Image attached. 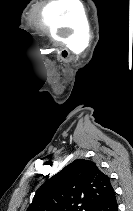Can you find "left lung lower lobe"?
<instances>
[{"label": "left lung lower lobe", "mask_w": 133, "mask_h": 211, "mask_svg": "<svg viewBox=\"0 0 133 211\" xmlns=\"http://www.w3.org/2000/svg\"><path fill=\"white\" fill-rule=\"evenodd\" d=\"M92 211H118V204L114 189H112L108 195L94 207Z\"/></svg>", "instance_id": "0a47b994"}]
</instances>
